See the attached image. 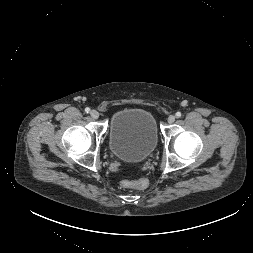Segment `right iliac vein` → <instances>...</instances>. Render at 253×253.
<instances>
[{
  "label": "right iliac vein",
  "mask_w": 253,
  "mask_h": 253,
  "mask_svg": "<svg viewBox=\"0 0 253 253\" xmlns=\"http://www.w3.org/2000/svg\"><path fill=\"white\" fill-rule=\"evenodd\" d=\"M90 116H91L93 119H98L99 113H98V111H96V110H92V111L90 112Z\"/></svg>",
  "instance_id": "right-iliac-vein-1"
}]
</instances>
